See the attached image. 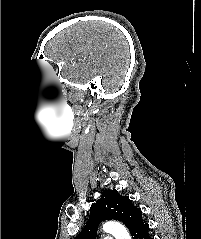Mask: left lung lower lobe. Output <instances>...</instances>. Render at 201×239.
Here are the masks:
<instances>
[{
  "mask_svg": "<svg viewBox=\"0 0 201 239\" xmlns=\"http://www.w3.org/2000/svg\"><path fill=\"white\" fill-rule=\"evenodd\" d=\"M148 231L149 225L143 222L131 232L132 239H152Z\"/></svg>",
  "mask_w": 201,
  "mask_h": 239,
  "instance_id": "1",
  "label": "left lung lower lobe"
}]
</instances>
